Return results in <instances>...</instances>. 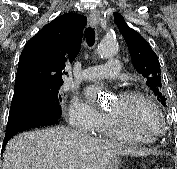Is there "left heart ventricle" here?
Wrapping results in <instances>:
<instances>
[{"label": "left heart ventricle", "instance_id": "1", "mask_svg": "<svg viewBox=\"0 0 177 169\" xmlns=\"http://www.w3.org/2000/svg\"><path fill=\"white\" fill-rule=\"evenodd\" d=\"M109 114L118 117L128 134L134 136L154 135L161 128L156 111L140 99L115 97L108 108Z\"/></svg>", "mask_w": 177, "mask_h": 169}]
</instances>
